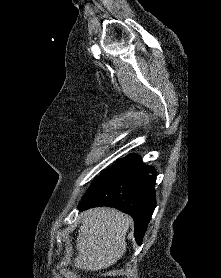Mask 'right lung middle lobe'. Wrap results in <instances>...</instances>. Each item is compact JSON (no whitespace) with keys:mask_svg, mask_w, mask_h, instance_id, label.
Listing matches in <instances>:
<instances>
[{"mask_svg":"<svg viewBox=\"0 0 221 278\" xmlns=\"http://www.w3.org/2000/svg\"><path fill=\"white\" fill-rule=\"evenodd\" d=\"M135 157L136 155H129L126 158L116 161L115 164L109 167L106 171L102 173L100 177L96 179V181L91 185V187L88 189L87 193L84 195L83 198H85L90 193V191L94 189L96 186H98L100 183L104 182L106 179L114 175L120 169L130 165L132 161L135 159Z\"/></svg>","mask_w":221,"mask_h":278,"instance_id":"dd1d6c3e","label":"right lung middle lobe"}]
</instances>
